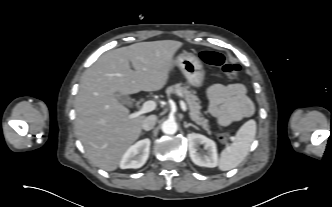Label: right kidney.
I'll return each mask as SVG.
<instances>
[{
    "instance_id": "obj_1",
    "label": "right kidney",
    "mask_w": 332,
    "mask_h": 207,
    "mask_svg": "<svg viewBox=\"0 0 332 207\" xmlns=\"http://www.w3.org/2000/svg\"><path fill=\"white\" fill-rule=\"evenodd\" d=\"M150 151V140L143 139L132 145L128 148V150L124 153L120 161L121 169L128 168H140L142 167L148 157Z\"/></svg>"
}]
</instances>
